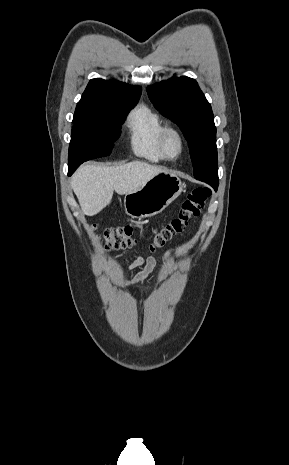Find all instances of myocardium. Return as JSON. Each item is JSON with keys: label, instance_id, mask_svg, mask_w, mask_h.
I'll use <instances>...</instances> for the list:
<instances>
[{"label": "myocardium", "instance_id": "1", "mask_svg": "<svg viewBox=\"0 0 289 465\" xmlns=\"http://www.w3.org/2000/svg\"><path fill=\"white\" fill-rule=\"evenodd\" d=\"M171 136L176 137L179 142V151L175 155H170L168 152V141ZM159 146L164 159L174 161L177 160L185 150V138L177 127L165 125L161 131Z\"/></svg>", "mask_w": 289, "mask_h": 465}]
</instances>
